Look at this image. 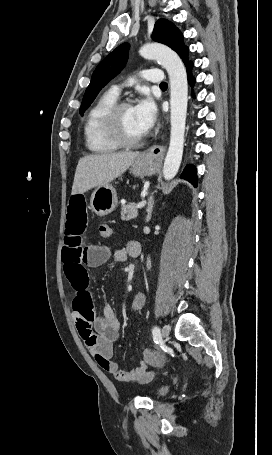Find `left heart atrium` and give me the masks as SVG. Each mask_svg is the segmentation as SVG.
<instances>
[{
  "label": "left heart atrium",
  "mask_w": 272,
  "mask_h": 455,
  "mask_svg": "<svg viewBox=\"0 0 272 455\" xmlns=\"http://www.w3.org/2000/svg\"><path fill=\"white\" fill-rule=\"evenodd\" d=\"M134 110L141 130L144 133L148 132L157 119V108L154 101L150 97H145L137 103Z\"/></svg>",
  "instance_id": "39dd6f15"
}]
</instances>
